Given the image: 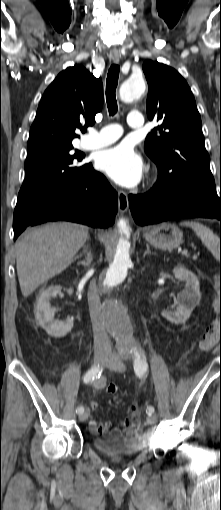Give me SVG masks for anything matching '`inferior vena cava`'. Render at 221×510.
I'll list each match as a JSON object with an SVG mask.
<instances>
[{
  "instance_id": "obj_1",
  "label": "inferior vena cava",
  "mask_w": 221,
  "mask_h": 510,
  "mask_svg": "<svg viewBox=\"0 0 221 510\" xmlns=\"http://www.w3.org/2000/svg\"><path fill=\"white\" fill-rule=\"evenodd\" d=\"M88 304L94 333V349L96 352H109L111 350L110 341L103 320L101 303L94 281H92L89 285Z\"/></svg>"
}]
</instances>
